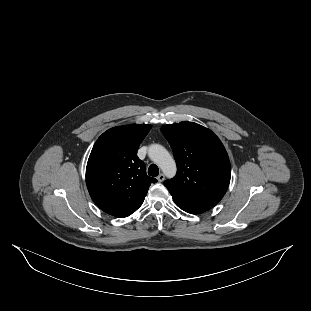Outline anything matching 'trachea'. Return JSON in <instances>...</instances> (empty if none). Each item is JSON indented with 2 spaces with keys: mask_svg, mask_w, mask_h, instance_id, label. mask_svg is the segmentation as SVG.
I'll return each instance as SVG.
<instances>
[{
  "mask_svg": "<svg viewBox=\"0 0 311 311\" xmlns=\"http://www.w3.org/2000/svg\"><path fill=\"white\" fill-rule=\"evenodd\" d=\"M148 174L150 176L156 177L159 174V168L155 164H151L148 168Z\"/></svg>",
  "mask_w": 311,
  "mask_h": 311,
  "instance_id": "1",
  "label": "trachea"
}]
</instances>
